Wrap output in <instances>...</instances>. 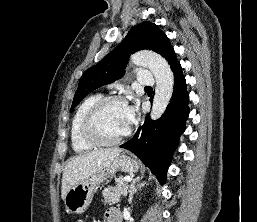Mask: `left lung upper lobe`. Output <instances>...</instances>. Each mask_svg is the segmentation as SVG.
I'll use <instances>...</instances> for the list:
<instances>
[{
  "instance_id": "left-lung-upper-lobe-1",
  "label": "left lung upper lobe",
  "mask_w": 257,
  "mask_h": 222,
  "mask_svg": "<svg viewBox=\"0 0 257 222\" xmlns=\"http://www.w3.org/2000/svg\"><path fill=\"white\" fill-rule=\"evenodd\" d=\"M143 49L160 54L169 64L177 60L174 49L163 31L156 24L144 21L133 27L124 40L103 60L83 73L71 110L95 89L121 78L125 73L129 55Z\"/></svg>"
}]
</instances>
